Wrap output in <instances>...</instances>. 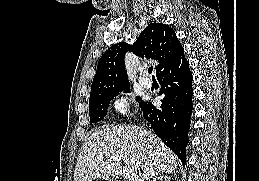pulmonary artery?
Wrapping results in <instances>:
<instances>
[{
	"mask_svg": "<svg viewBox=\"0 0 259 181\" xmlns=\"http://www.w3.org/2000/svg\"><path fill=\"white\" fill-rule=\"evenodd\" d=\"M139 82H140L141 86H143L144 88H150L152 85L151 80L144 78V77H141L139 79Z\"/></svg>",
	"mask_w": 259,
	"mask_h": 181,
	"instance_id": "obj_1",
	"label": "pulmonary artery"
}]
</instances>
